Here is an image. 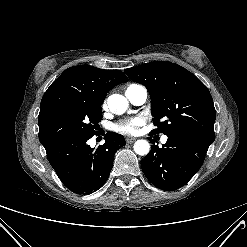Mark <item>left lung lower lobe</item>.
I'll list each match as a JSON object with an SVG mask.
<instances>
[{
    "label": "left lung lower lobe",
    "instance_id": "obj_1",
    "mask_svg": "<svg viewBox=\"0 0 247 247\" xmlns=\"http://www.w3.org/2000/svg\"><path fill=\"white\" fill-rule=\"evenodd\" d=\"M166 144L153 145L141 161L147 179L157 188L173 191L184 186L202 166L210 143L184 133L168 134Z\"/></svg>",
    "mask_w": 247,
    "mask_h": 247
}]
</instances>
